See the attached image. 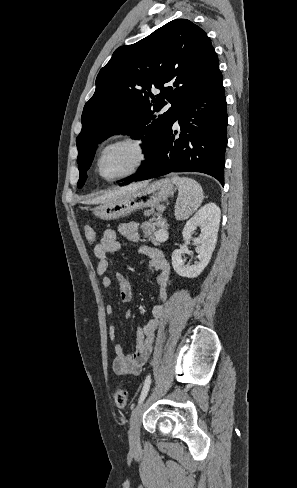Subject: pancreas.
<instances>
[{
  "label": "pancreas",
  "instance_id": "1",
  "mask_svg": "<svg viewBox=\"0 0 297 488\" xmlns=\"http://www.w3.org/2000/svg\"><path fill=\"white\" fill-rule=\"evenodd\" d=\"M153 213H154L153 208H151L150 210L144 211V215H146V216H149L150 214H153ZM145 225H150L152 227V231L150 232V235H149V240H151L152 242H156L157 241V239H156L157 231L154 230V226L157 225V223L155 222V217H153L151 220L146 222ZM159 225L162 229H165L167 227V225L165 224V220L163 218L160 220Z\"/></svg>",
  "mask_w": 297,
  "mask_h": 488
}]
</instances>
